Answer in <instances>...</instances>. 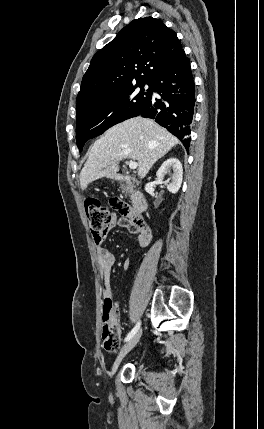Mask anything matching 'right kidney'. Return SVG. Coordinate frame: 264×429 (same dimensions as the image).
<instances>
[{
  "label": "right kidney",
  "mask_w": 264,
  "mask_h": 429,
  "mask_svg": "<svg viewBox=\"0 0 264 429\" xmlns=\"http://www.w3.org/2000/svg\"><path fill=\"white\" fill-rule=\"evenodd\" d=\"M171 169L173 170L172 181H165L164 183L167 186L168 191L175 194L181 187L183 174L182 164L177 158L172 157L163 162L161 167L158 169L156 176L158 180H163L164 175L169 173Z\"/></svg>",
  "instance_id": "ca27d5eb"
}]
</instances>
